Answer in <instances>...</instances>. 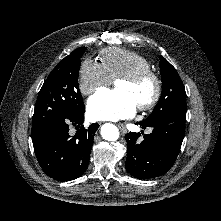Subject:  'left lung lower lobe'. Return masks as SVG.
<instances>
[{"label": "left lung lower lobe", "mask_w": 221, "mask_h": 221, "mask_svg": "<svg viewBox=\"0 0 221 221\" xmlns=\"http://www.w3.org/2000/svg\"><path fill=\"white\" fill-rule=\"evenodd\" d=\"M186 112H174L153 121L138 124L145 129L151 127V134L125 135L127 142L126 169L136 178L149 179L165 174L175 162L184 137Z\"/></svg>", "instance_id": "left-lung-lower-lobe-1"}]
</instances>
